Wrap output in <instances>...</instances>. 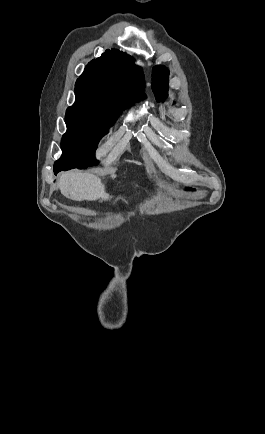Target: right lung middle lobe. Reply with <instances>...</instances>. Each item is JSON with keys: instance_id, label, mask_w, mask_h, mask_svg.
Here are the masks:
<instances>
[{"instance_id": "1", "label": "right lung middle lobe", "mask_w": 265, "mask_h": 434, "mask_svg": "<svg viewBox=\"0 0 265 434\" xmlns=\"http://www.w3.org/2000/svg\"><path fill=\"white\" fill-rule=\"evenodd\" d=\"M76 101L66 111L67 132L61 142L62 156L54 169L86 168L98 164L95 150L101 137L129 104L109 100L91 90H75Z\"/></svg>"}]
</instances>
